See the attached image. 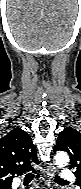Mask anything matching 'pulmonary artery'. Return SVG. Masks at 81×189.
<instances>
[{"mask_svg":"<svg viewBox=\"0 0 81 189\" xmlns=\"http://www.w3.org/2000/svg\"><path fill=\"white\" fill-rule=\"evenodd\" d=\"M61 178L65 181H74L75 179L73 172L68 169L62 171Z\"/></svg>","mask_w":81,"mask_h":189,"instance_id":"pulmonary-artery-1","label":"pulmonary artery"}]
</instances>
